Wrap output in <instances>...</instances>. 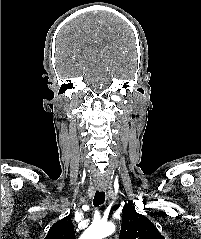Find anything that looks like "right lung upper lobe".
<instances>
[{
	"mask_svg": "<svg viewBox=\"0 0 201 239\" xmlns=\"http://www.w3.org/2000/svg\"><path fill=\"white\" fill-rule=\"evenodd\" d=\"M45 239H75L74 226L70 215L54 223Z\"/></svg>",
	"mask_w": 201,
	"mask_h": 239,
	"instance_id": "obj_1",
	"label": "right lung upper lobe"
}]
</instances>
